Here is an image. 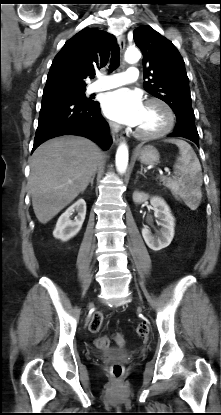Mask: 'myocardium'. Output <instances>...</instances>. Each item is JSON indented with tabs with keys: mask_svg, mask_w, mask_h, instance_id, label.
<instances>
[{
	"mask_svg": "<svg viewBox=\"0 0 221 415\" xmlns=\"http://www.w3.org/2000/svg\"><path fill=\"white\" fill-rule=\"evenodd\" d=\"M145 104H158L162 106L167 115V122L161 130L152 132V133H146L138 129H135L134 131L135 135L138 138L147 139V140L157 139V138H161L167 135L173 129L175 125V113L172 107L170 106V104L167 103L165 100L157 98V97L148 99Z\"/></svg>",
	"mask_w": 221,
	"mask_h": 415,
	"instance_id": "f54148a6",
	"label": "myocardium"
}]
</instances>
